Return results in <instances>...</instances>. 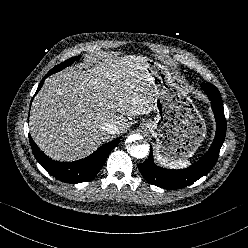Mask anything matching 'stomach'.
Segmentation results:
<instances>
[{"instance_id": "1", "label": "stomach", "mask_w": 248, "mask_h": 248, "mask_svg": "<svg viewBox=\"0 0 248 248\" xmlns=\"http://www.w3.org/2000/svg\"><path fill=\"white\" fill-rule=\"evenodd\" d=\"M146 71L154 89L156 117L141 128L156 139L157 155L166 161L186 160L206 136V124L190 96L174 81L167 68L147 59Z\"/></svg>"}]
</instances>
